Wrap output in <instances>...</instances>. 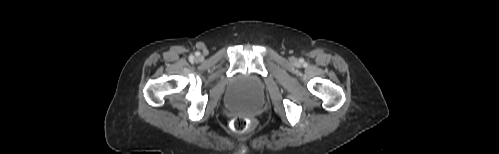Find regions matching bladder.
Returning <instances> with one entry per match:
<instances>
[{
	"mask_svg": "<svg viewBox=\"0 0 499 154\" xmlns=\"http://www.w3.org/2000/svg\"><path fill=\"white\" fill-rule=\"evenodd\" d=\"M260 91L258 82L252 77L240 78L228 99V105L239 112H254L259 107L256 94Z\"/></svg>",
	"mask_w": 499,
	"mask_h": 154,
	"instance_id": "obj_1",
	"label": "bladder"
}]
</instances>
